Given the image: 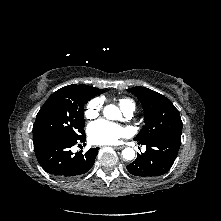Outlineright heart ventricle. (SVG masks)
<instances>
[{"label":"right heart ventricle","mask_w":221,"mask_h":221,"mask_svg":"<svg viewBox=\"0 0 221 221\" xmlns=\"http://www.w3.org/2000/svg\"><path fill=\"white\" fill-rule=\"evenodd\" d=\"M119 105L123 110L128 109L129 107L134 106V103L131 99L129 98H120L119 99Z\"/></svg>","instance_id":"1"}]
</instances>
